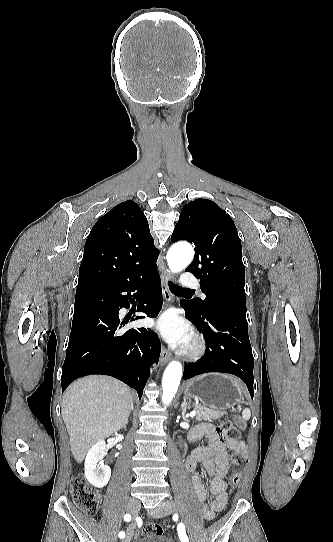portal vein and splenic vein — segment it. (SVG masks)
I'll return each instance as SVG.
<instances>
[{
	"instance_id": "obj_1",
	"label": "portal vein and splenic vein",
	"mask_w": 333,
	"mask_h": 542,
	"mask_svg": "<svg viewBox=\"0 0 333 542\" xmlns=\"http://www.w3.org/2000/svg\"><path fill=\"white\" fill-rule=\"evenodd\" d=\"M189 416L190 418H194V416H196V410H193V412H190Z\"/></svg>"
}]
</instances>
